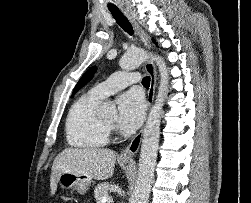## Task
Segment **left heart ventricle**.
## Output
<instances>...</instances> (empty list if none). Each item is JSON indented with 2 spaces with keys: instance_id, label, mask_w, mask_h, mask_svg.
Segmentation results:
<instances>
[{
  "instance_id": "1",
  "label": "left heart ventricle",
  "mask_w": 251,
  "mask_h": 203,
  "mask_svg": "<svg viewBox=\"0 0 251 203\" xmlns=\"http://www.w3.org/2000/svg\"><path fill=\"white\" fill-rule=\"evenodd\" d=\"M108 123H112L114 121V118L106 120Z\"/></svg>"
}]
</instances>
